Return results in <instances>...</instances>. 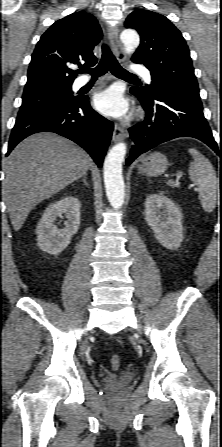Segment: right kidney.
<instances>
[{"label": "right kidney", "mask_w": 222, "mask_h": 447, "mask_svg": "<svg viewBox=\"0 0 222 447\" xmlns=\"http://www.w3.org/2000/svg\"><path fill=\"white\" fill-rule=\"evenodd\" d=\"M80 208L77 198L65 196L45 209L36 229L38 246L42 251L58 255L69 245L80 226ZM63 215L67 218L65 227L58 229L55 222Z\"/></svg>", "instance_id": "ca27d5eb"}]
</instances>
